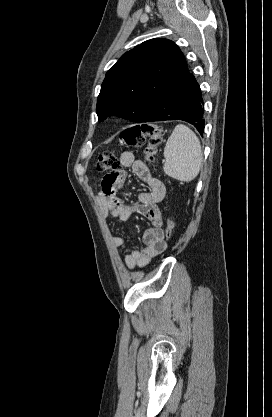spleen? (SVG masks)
<instances>
[{
  "mask_svg": "<svg viewBox=\"0 0 272 417\" xmlns=\"http://www.w3.org/2000/svg\"><path fill=\"white\" fill-rule=\"evenodd\" d=\"M164 172L180 181H191L202 167L201 144L196 134L186 125L178 124L164 148Z\"/></svg>",
  "mask_w": 272,
  "mask_h": 417,
  "instance_id": "3e777b00",
  "label": "spleen"
}]
</instances>
